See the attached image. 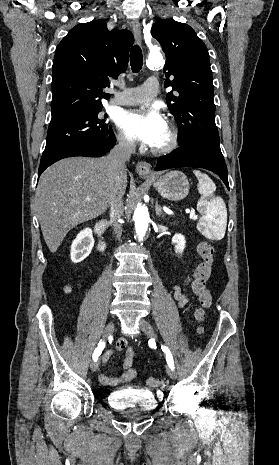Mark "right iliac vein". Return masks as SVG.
I'll use <instances>...</instances> for the list:
<instances>
[{"label":"right iliac vein","instance_id":"right-iliac-vein-1","mask_svg":"<svg viewBox=\"0 0 279 465\" xmlns=\"http://www.w3.org/2000/svg\"><path fill=\"white\" fill-rule=\"evenodd\" d=\"M115 326L113 322H109L107 326L105 327L104 333H103V339H107L109 336H111L114 332ZM90 368L93 372H96L99 368V361H93L90 365Z\"/></svg>","mask_w":279,"mask_h":465}]
</instances>
